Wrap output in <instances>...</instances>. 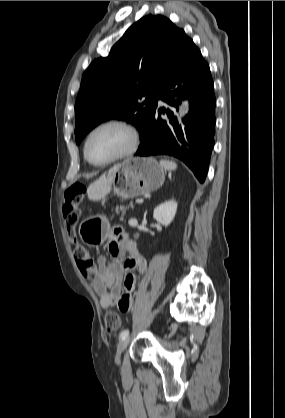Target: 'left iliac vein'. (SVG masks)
Instances as JSON below:
<instances>
[{
  "label": "left iliac vein",
  "mask_w": 285,
  "mask_h": 418,
  "mask_svg": "<svg viewBox=\"0 0 285 418\" xmlns=\"http://www.w3.org/2000/svg\"><path fill=\"white\" fill-rule=\"evenodd\" d=\"M129 343H130V338L129 337H126L119 342V344L117 346L116 355H115V363L117 365L120 364L121 354L128 347Z\"/></svg>",
  "instance_id": "4c4485c4"
}]
</instances>
